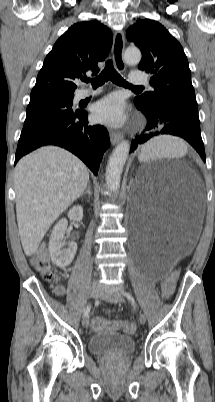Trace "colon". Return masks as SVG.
Returning a JSON list of instances; mask_svg holds the SVG:
<instances>
[{
  "mask_svg": "<svg viewBox=\"0 0 215 402\" xmlns=\"http://www.w3.org/2000/svg\"><path fill=\"white\" fill-rule=\"evenodd\" d=\"M35 268L41 273L45 280H51L53 277L51 266L47 256L44 253L38 254L34 259ZM177 274H173L162 283V289H159V298H172L175 288V281ZM104 328L120 329L124 333L132 334L136 331L135 324L131 322H107L102 318H95L92 320V329L99 331Z\"/></svg>",
  "mask_w": 215,
  "mask_h": 402,
  "instance_id": "5ec220e1",
  "label": "colon"
}]
</instances>
